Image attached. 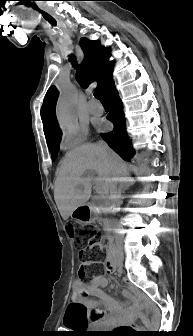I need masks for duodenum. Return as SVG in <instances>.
Here are the masks:
<instances>
[{
	"label": "duodenum",
	"instance_id": "obj_1",
	"mask_svg": "<svg viewBox=\"0 0 193 336\" xmlns=\"http://www.w3.org/2000/svg\"><path fill=\"white\" fill-rule=\"evenodd\" d=\"M97 210H101L103 209V207L101 206H98L96 207ZM107 262L112 266V267H115V254H114V248H113V245L110 244L109 246V251H108V255H107Z\"/></svg>",
	"mask_w": 193,
	"mask_h": 336
}]
</instances>
